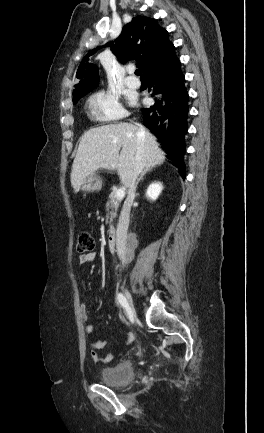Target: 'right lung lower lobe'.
Instances as JSON below:
<instances>
[{
	"label": "right lung lower lobe",
	"mask_w": 264,
	"mask_h": 433,
	"mask_svg": "<svg viewBox=\"0 0 264 433\" xmlns=\"http://www.w3.org/2000/svg\"><path fill=\"white\" fill-rule=\"evenodd\" d=\"M145 77L155 102L151 107L142 109L143 124L159 138L167 157L185 178L184 136L189 107L180 61L175 55L165 64L150 70Z\"/></svg>",
	"instance_id": "98d812e1"
}]
</instances>
